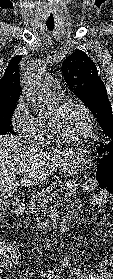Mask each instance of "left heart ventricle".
Wrapping results in <instances>:
<instances>
[{"label": "left heart ventricle", "mask_w": 113, "mask_h": 279, "mask_svg": "<svg viewBox=\"0 0 113 279\" xmlns=\"http://www.w3.org/2000/svg\"><path fill=\"white\" fill-rule=\"evenodd\" d=\"M48 118L53 121L63 136L77 137L87 129V117L83 110L75 104H70L60 111L52 109Z\"/></svg>", "instance_id": "left-heart-ventricle-1"}]
</instances>
